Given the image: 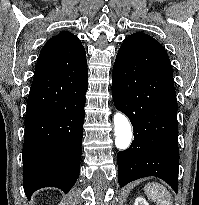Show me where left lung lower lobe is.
I'll return each instance as SVG.
<instances>
[{
    "mask_svg": "<svg viewBox=\"0 0 199 205\" xmlns=\"http://www.w3.org/2000/svg\"><path fill=\"white\" fill-rule=\"evenodd\" d=\"M115 107L133 126L131 146L119 151L118 182L156 176L178 191L177 99L173 70L164 47L142 32L122 43L113 66Z\"/></svg>",
    "mask_w": 199,
    "mask_h": 205,
    "instance_id": "0a47b994",
    "label": "left lung lower lobe"
}]
</instances>
